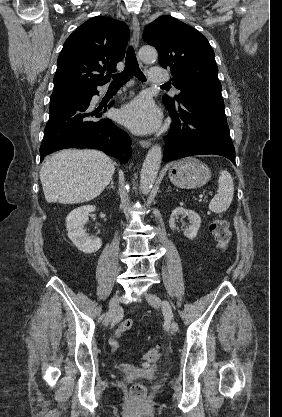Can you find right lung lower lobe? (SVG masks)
Segmentation results:
<instances>
[{
    "instance_id": "right-lung-lower-lobe-1",
    "label": "right lung lower lobe",
    "mask_w": 282,
    "mask_h": 417,
    "mask_svg": "<svg viewBox=\"0 0 282 417\" xmlns=\"http://www.w3.org/2000/svg\"><path fill=\"white\" fill-rule=\"evenodd\" d=\"M97 89L51 102L49 121L40 147L46 155L66 148H95L125 164L131 156V139L108 118H101L107 107L95 109L92 96Z\"/></svg>"
}]
</instances>
